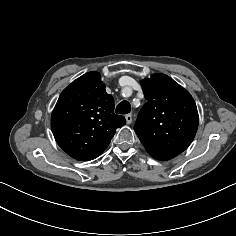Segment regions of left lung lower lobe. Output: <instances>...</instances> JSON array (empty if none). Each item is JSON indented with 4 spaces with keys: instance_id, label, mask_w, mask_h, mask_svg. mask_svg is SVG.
<instances>
[{
    "instance_id": "1",
    "label": "left lung lower lobe",
    "mask_w": 236,
    "mask_h": 236,
    "mask_svg": "<svg viewBox=\"0 0 236 236\" xmlns=\"http://www.w3.org/2000/svg\"><path fill=\"white\" fill-rule=\"evenodd\" d=\"M150 155L157 159V160H161V161H166L169 160L171 158H174L175 156L172 155H167V154H157V153H150Z\"/></svg>"
}]
</instances>
